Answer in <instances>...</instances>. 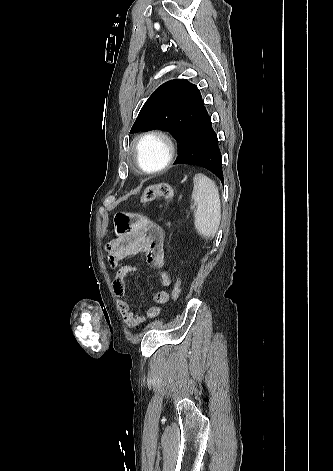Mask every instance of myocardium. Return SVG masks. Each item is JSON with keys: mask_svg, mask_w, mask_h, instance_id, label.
I'll use <instances>...</instances> for the list:
<instances>
[{"mask_svg": "<svg viewBox=\"0 0 333 471\" xmlns=\"http://www.w3.org/2000/svg\"><path fill=\"white\" fill-rule=\"evenodd\" d=\"M148 140L159 141L165 150V156L160 165L155 168L147 169L143 166L140 158V148ZM175 152V146L172 138L163 131L150 130L139 135L133 143L134 162L138 169L147 174H155L164 170L172 161Z\"/></svg>", "mask_w": 333, "mask_h": 471, "instance_id": "obj_1", "label": "myocardium"}]
</instances>
